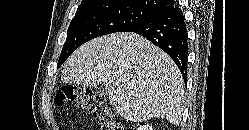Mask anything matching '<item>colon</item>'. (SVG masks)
Returning a JSON list of instances; mask_svg holds the SVG:
<instances>
[{
  "mask_svg": "<svg viewBox=\"0 0 249 130\" xmlns=\"http://www.w3.org/2000/svg\"><path fill=\"white\" fill-rule=\"evenodd\" d=\"M54 103L57 106L67 103L77 104L99 121L101 130H120L119 120L108 100L90 89L64 84L57 90Z\"/></svg>",
  "mask_w": 249,
  "mask_h": 130,
  "instance_id": "colon-1",
  "label": "colon"
}]
</instances>
